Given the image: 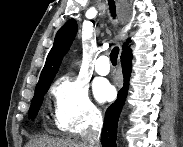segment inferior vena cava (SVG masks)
<instances>
[{"label": "inferior vena cava", "mask_w": 183, "mask_h": 147, "mask_svg": "<svg viewBox=\"0 0 183 147\" xmlns=\"http://www.w3.org/2000/svg\"><path fill=\"white\" fill-rule=\"evenodd\" d=\"M103 125L99 112L93 115L91 126L82 133V140L86 147H99V138Z\"/></svg>", "instance_id": "1"}]
</instances>
